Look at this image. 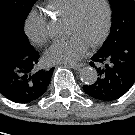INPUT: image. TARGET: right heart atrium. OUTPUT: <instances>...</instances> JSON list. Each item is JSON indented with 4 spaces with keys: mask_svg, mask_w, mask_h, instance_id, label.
Masks as SVG:
<instances>
[{
    "mask_svg": "<svg viewBox=\"0 0 135 135\" xmlns=\"http://www.w3.org/2000/svg\"><path fill=\"white\" fill-rule=\"evenodd\" d=\"M24 31L32 43L36 45L46 43L49 39L47 18L38 11H31L24 22Z\"/></svg>",
    "mask_w": 135,
    "mask_h": 135,
    "instance_id": "d8ad5b80",
    "label": "right heart atrium"
}]
</instances>
